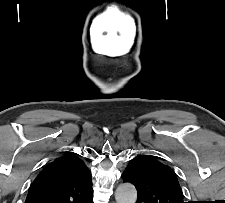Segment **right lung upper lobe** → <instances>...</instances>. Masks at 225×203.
<instances>
[{
    "instance_id": "1",
    "label": "right lung upper lobe",
    "mask_w": 225,
    "mask_h": 203,
    "mask_svg": "<svg viewBox=\"0 0 225 203\" xmlns=\"http://www.w3.org/2000/svg\"><path fill=\"white\" fill-rule=\"evenodd\" d=\"M91 173L69 153L47 164L31 185L25 203H91Z\"/></svg>"
}]
</instances>
